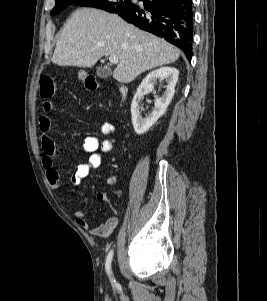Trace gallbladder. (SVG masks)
Segmentation results:
<instances>
[{"mask_svg":"<svg viewBox=\"0 0 267 301\" xmlns=\"http://www.w3.org/2000/svg\"><path fill=\"white\" fill-rule=\"evenodd\" d=\"M111 70L106 67H99L96 71V74L100 78H108L111 76Z\"/></svg>","mask_w":267,"mask_h":301,"instance_id":"obj_1","label":"gallbladder"}]
</instances>
